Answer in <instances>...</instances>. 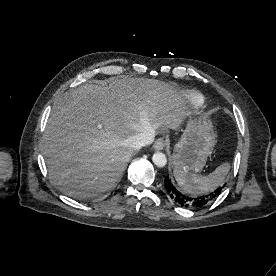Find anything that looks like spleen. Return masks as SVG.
Returning a JSON list of instances; mask_svg holds the SVG:
<instances>
[{"instance_id": "3e777b00", "label": "spleen", "mask_w": 276, "mask_h": 276, "mask_svg": "<svg viewBox=\"0 0 276 276\" xmlns=\"http://www.w3.org/2000/svg\"><path fill=\"white\" fill-rule=\"evenodd\" d=\"M230 170L228 163L218 166L212 173L202 176L174 170V176L178 185L187 193L203 194L223 185L224 179Z\"/></svg>"}]
</instances>
